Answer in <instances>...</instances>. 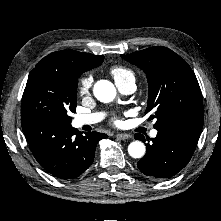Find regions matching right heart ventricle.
I'll return each mask as SVG.
<instances>
[{"label": "right heart ventricle", "mask_w": 221, "mask_h": 221, "mask_svg": "<svg viewBox=\"0 0 221 221\" xmlns=\"http://www.w3.org/2000/svg\"><path fill=\"white\" fill-rule=\"evenodd\" d=\"M110 74L115 80L116 84H121L129 80H135L133 72L123 66H114L110 69Z\"/></svg>", "instance_id": "e07e8e85"}]
</instances>
